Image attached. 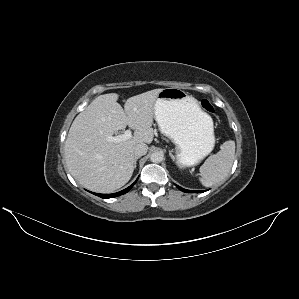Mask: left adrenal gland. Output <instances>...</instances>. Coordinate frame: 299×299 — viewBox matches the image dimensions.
<instances>
[{"mask_svg": "<svg viewBox=\"0 0 299 299\" xmlns=\"http://www.w3.org/2000/svg\"><path fill=\"white\" fill-rule=\"evenodd\" d=\"M169 155L173 160L175 159L171 151L169 152Z\"/></svg>", "mask_w": 299, "mask_h": 299, "instance_id": "1", "label": "left adrenal gland"}]
</instances>
